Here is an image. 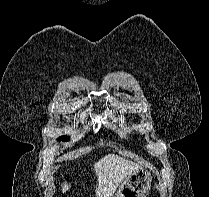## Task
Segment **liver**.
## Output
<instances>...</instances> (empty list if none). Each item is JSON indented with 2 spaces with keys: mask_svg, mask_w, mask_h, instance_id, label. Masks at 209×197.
<instances>
[{
  "mask_svg": "<svg viewBox=\"0 0 209 197\" xmlns=\"http://www.w3.org/2000/svg\"><path fill=\"white\" fill-rule=\"evenodd\" d=\"M142 168L141 165L125 158L108 154L94 163V172L97 177L96 197H111L118 186L133 172ZM70 187L66 182L62 184V192Z\"/></svg>",
  "mask_w": 209,
  "mask_h": 197,
  "instance_id": "obj_1",
  "label": "liver"
}]
</instances>
